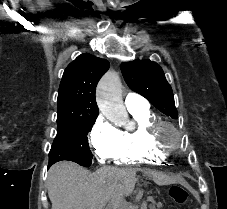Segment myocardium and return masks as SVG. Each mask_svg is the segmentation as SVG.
Returning a JSON list of instances; mask_svg holds the SVG:
<instances>
[{
	"label": "myocardium",
	"instance_id": "f54148a6",
	"mask_svg": "<svg viewBox=\"0 0 227 209\" xmlns=\"http://www.w3.org/2000/svg\"><path fill=\"white\" fill-rule=\"evenodd\" d=\"M166 130L174 135L173 141L164 138L163 134ZM145 137L148 143L167 154L182 152L187 146V139L182 130L172 121L161 118H157L145 127Z\"/></svg>",
	"mask_w": 227,
	"mask_h": 209
}]
</instances>
